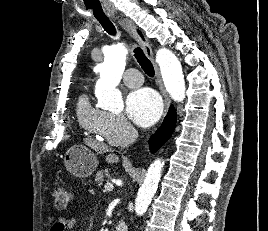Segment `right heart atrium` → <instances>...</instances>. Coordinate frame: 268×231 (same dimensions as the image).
Masks as SVG:
<instances>
[{"label":"right heart atrium","mask_w":268,"mask_h":231,"mask_svg":"<svg viewBox=\"0 0 268 231\" xmlns=\"http://www.w3.org/2000/svg\"><path fill=\"white\" fill-rule=\"evenodd\" d=\"M132 130L130 124L121 114L106 113L100 127L101 138L111 144H120Z\"/></svg>","instance_id":"obj_1"}]
</instances>
